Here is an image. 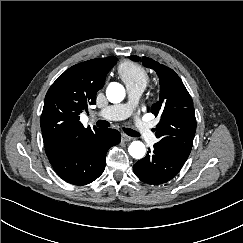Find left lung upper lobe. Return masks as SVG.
Masks as SVG:
<instances>
[{
	"instance_id": "left-lung-upper-lobe-1",
	"label": "left lung upper lobe",
	"mask_w": 243,
	"mask_h": 243,
	"mask_svg": "<svg viewBox=\"0 0 243 243\" xmlns=\"http://www.w3.org/2000/svg\"><path fill=\"white\" fill-rule=\"evenodd\" d=\"M133 61L139 57L130 56ZM143 65L156 71L159 76V100L151 107V112L160 117L154 131L158 146L169 149L187 159L196 131L193 101L179 76L170 68L148 57H143Z\"/></svg>"
}]
</instances>
